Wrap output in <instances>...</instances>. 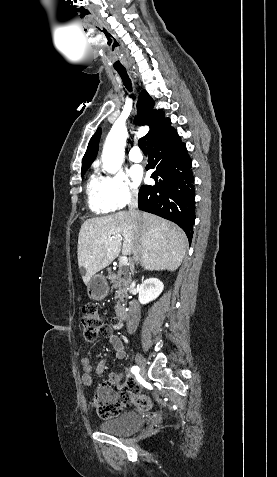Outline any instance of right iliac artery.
Returning a JSON list of instances; mask_svg holds the SVG:
<instances>
[{
	"label": "right iliac artery",
	"instance_id": "right-iliac-artery-1",
	"mask_svg": "<svg viewBox=\"0 0 277 477\" xmlns=\"http://www.w3.org/2000/svg\"><path fill=\"white\" fill-rule=\"evenodd\" d=\"M132 373H137L139 371V368L137 366H133L131 369Z\"/></svg>",
	"mask_w": 277,
	"mask_h": 477
}]
</instances>
